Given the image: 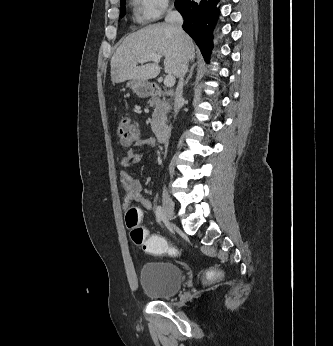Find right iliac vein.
<instances>
[{"label":"right iliac vein","mask_w":333,"mask_h":346,"mask_svg":"<svg viewBox=\"0 0 333 346\" xmlns=\"http://www.w3.org/2000/svg\"><path fill=\"white\" fill-rule=\"evenodd\" d=\"M162 207L165 219L171 221L174 215V204L166 190L162 194Z\"/></svg>","instance_id":"1"}]
</instances>
